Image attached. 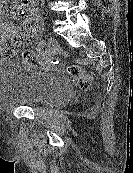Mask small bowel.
Returning a JSON list of instances; mask_svg holds the SVG:
<instances>
[{
  "label": "small bowel",
  "instance_id": "c3829d8e",
  "mask_svg": "<svg viewBox=\"0 0 133 173\" xmlns=\"http://www.w3.org/2000/svg\"><path fill=\"white\" fill-rule=\"evenodd\" d=\"M21 6L23 8H29V15L25 20L23 27H16L8 25L3 15L0 13V61L7 58V56L2 54V48L5 43L14 37H19L24 40V42H30L37 39L40 34L39 25V10L34 7L33 0H21ZM38 59L33 61L36 62Z\"/></svg>",
  "mask_w": 133,
  "mask_h": 173
}]
</instances>
